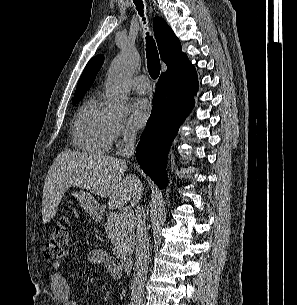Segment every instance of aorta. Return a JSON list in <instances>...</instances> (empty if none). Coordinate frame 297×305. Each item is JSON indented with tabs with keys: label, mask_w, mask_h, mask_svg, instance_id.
<instances>
[{
	"label": "aorta",
	"mask_w": 297,
	"mask_h": 305,
	"mask_svg": "<svg viewBox=\"0 0 297 305\" xmlns=\"http://www.w3.org/2000/svg\"><path fill=\"white\" fill-rule=\"evenodd\" d=\"M140 62L138 52L126 47L113 60L106 81V105L116 114H124L127 110L130 93V78Z\"/></svg>",
	"instance_id": "762f6f07"
}]
</instances>
